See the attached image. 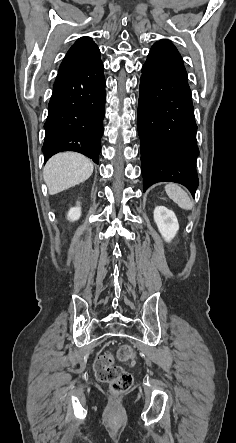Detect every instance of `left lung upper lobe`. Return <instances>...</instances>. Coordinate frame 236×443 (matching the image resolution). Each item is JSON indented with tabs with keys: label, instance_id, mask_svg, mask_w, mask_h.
I'll use <instances>...</instances> for the list:
<instances>
[{
	"label": "left lung upper lobe",
	"instance_id": "5c2ea615",
	"mask_svg": "<svg viewBox=\"0 0 236 443\" xmlns=\"http://www.w3.org/2000/svg\"><path fill=\"white\" fill-rule=\"evenodd\" d=\"M158 44H165V45H170V46H172V47H175L170 41H168V40H164V39H162V40L156 42L154 45H158Z\"/></svg>",
	"mask_w": 236,
	"mask_h": 443
}]
</instances>
